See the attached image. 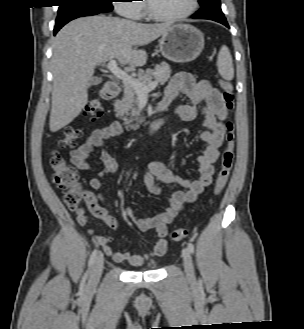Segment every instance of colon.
<instances>
[{
    "mask_svg": "<svg viewBox=\"0 0 304 329\" xmlns=\"http://www.w3.org/2000/svg\"><path fill=\"white\" fill-rule=\"evenodd\" d=\"M219 86L222 90V98L225 108L229 113L234 107L233 86L229 80L219 79ZM86 115L89 120L95 121L103 115L102 103L98 98H92L86 108ZM226 129V145L222 152L220 160V168L217 173L213 196L219 195L226 187L230 173L233 167L235 157V133L234 125L231 119L225 124ZM80 136V131L74 127H67L64 137L59 141V147L62 149L70 148L75 145L76 139ZM51 179L53 184L60 190L65 191L64 201L70 210H77L84 198V190L78 184V172L74 166L69 164L66 159L59 153L53 152L50 157ZM187 235L185 229H175L171 233L173 241H181Z\"/></svg>",
    "mask_w": 304,
    "mask_h": 329,
    "instance_id": "5ec220e1",
    "label": "colon"
}]
</instances>
